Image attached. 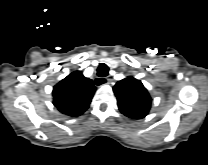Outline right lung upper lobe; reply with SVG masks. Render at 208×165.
I'll return each mask as SVG.
<instances>
[{"label": "right lung upper lobe", "mask_w": 208, "mask_h": 165, "mask_svg": "<svg viewBox=\"0 0 208 165\" xmlns=\"http://www.w3.org/2000/svg\"><path fill=\"white\" fill-rule=\"evenodd\" d=\"M96 87L91 79L75 71L53 88V104L63 114L77 117L89 107Z\"/></svg>", "instance_id": "1"}]
</instances>
